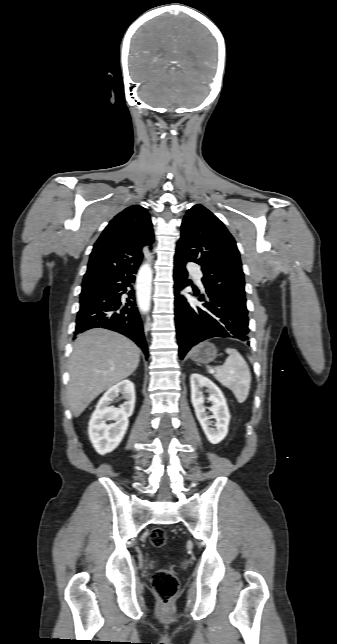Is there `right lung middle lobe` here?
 Returning <instances> with one entry per match:
<instances>
[{"mask_svg": "<svg viewBox=\"0 0 337 644\" xmlns=\"http://www.w3.org/2000/svg\"><path fill=\"white\" fill-rule=\"evenodd\" d=\"M97 283L82 284V292L80 296L89 292Z\"/></svg>", "mask_w": 337, "mask_h": 644, "instance_id": "1", "label": "right lung middle lobe"}]
</instances>
